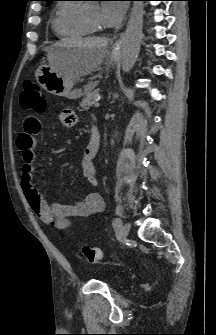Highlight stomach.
Returning a JSON list of instances; mask_svg holds the SVG:
<instances>
[{"label": "stomach", "instance_id": "1", "mask_svg": "<svg viewBox=\"0 0 216 335\" xmlns=\"http://www.w3.org/2000/svg\"><path fill=\"white\" fill-rule=\"evenodd\" d=\"M48 53L49 64L37 69L35 77L40 86L47 92L69 99H77L82 96L81 89H73L74 79L62 71L66 63L78 51V48L72 46L54 45L46 49ZM118 58V51L112 50L109 53L111 62Z\"/></svg>", "mask_w": 216, "mask_h": 335}]
</instances>
